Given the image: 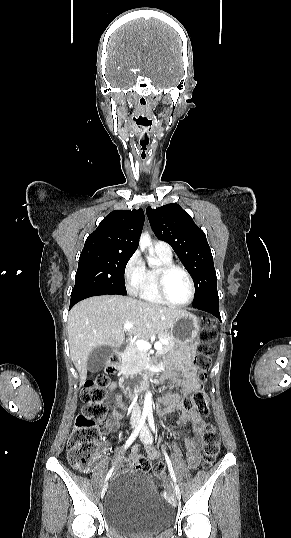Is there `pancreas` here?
I'll use <instances>...</instances> for the list:
<instances>
[{
  "instance_id": "cf45deb5",
  "label": "pancreas",
  "mask_w": 291,
  "mask_h": 538,
  "mask_svg": "<svg viewBox=\"0 0 291 538\" xmlns=\"http://www.w3.org/2000/svg\"><path fill=\"white\" fill-rule=\"evenodd\" d=\"M158 339L160 341L163 339L168 340L167 344H162V347L158 349V355L165 354L174 347L175 341L169 333L162 332L158 334ZM122 362L128 364L133 373H140L149 363V359L146 351L140 350L134 343L131 344L129 349L122 355Z\"/></svg>"
}]
</instances>
